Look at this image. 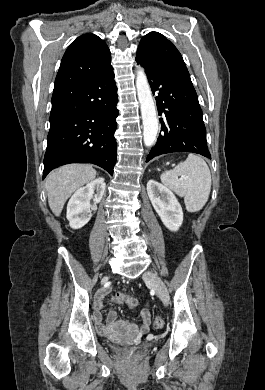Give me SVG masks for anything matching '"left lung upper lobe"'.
I'll list each match as a JSON object with an SVG mask.
<instances>
[{
  "mask_svg": "<svg viewBox=\"0 0 265 390\" xmlns=\"http://www.w3.org/2000/svg\"><path fill=\"white\" fill-rule=\"evenodd\" d=\"M136 58L151 67L188 71L174 44L158 32H150L141 39Z\"/></svg>",
  "mask_w": 265,
  "mask_h": 390,
  "instance_id": "left-lung-upper-lobe-1",
  "label": "left lung upper lobe"
}]
</instances>
